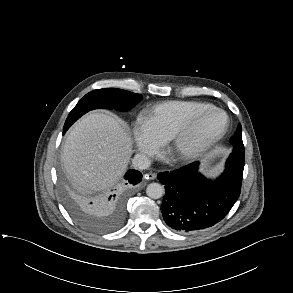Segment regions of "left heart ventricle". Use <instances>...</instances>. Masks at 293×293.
<instances>
[{
    "instance_id": "1",
    "label": "left heart ventricle",
    "mask_w": 293,
    "mask_h": 293,
    "mask_svg": "<svg viewBox=\"0 0 293 293\" xmlns=\"http://www.w3.org/2000/svg\"><path fill=\"white\" fill-rule=\"evenodd\" d=\"M223 117L217 112H208L205 114L194 128L189 143L200 142L213 133H215L222 125Z\"/></svg>"
}]
</instances>
